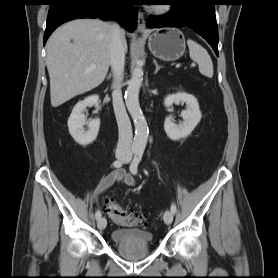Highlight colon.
Masks as SVG:
<instances>
[{
	"mask_svg": "<svg viewBox=\"0 0 278 278\" xmlns=\"http://www.w3.org/2000/svg\"><path fill=\"white\" fill-rule=\"evenodd\" d=\"M105 210L119 225L126 227L146 225V215L144 213L127 209L119 205L114 199L106 201Z\"/></svg>",
	"mask_w": 278,
	"mask_h": 278,
	"instance_id": "obj_1",
	"label": "colon"
}]
</instances>
